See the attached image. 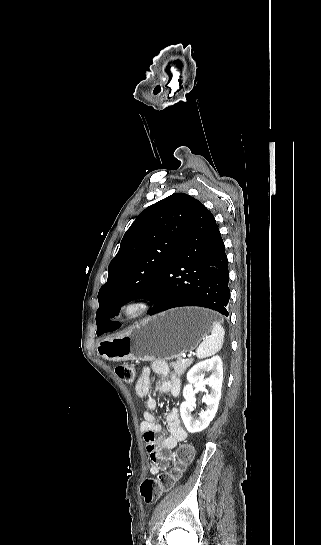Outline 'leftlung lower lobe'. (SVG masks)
Returning a JSON list of instances; mask_svg holds the SVG:
<instances>
[{"mask_svg":"<svg viewBox=\"0 0 321 545\" xmlns=\"http://www.w3.org/2000/svg\"><path fill=\"white\" fill-rule=\"evenodd\" d=\"M228 282L224 242L213 214L200 202L179 239L156 293L149 299L155 305L148 314L199 306L228 316ZM118 311L110 315L104 332L120 327V323L111 320Z\"/></svg>","mask_w":321,"mask_h":545,"instance_id":"0a47b994","label":"left lung lower lobe"}]
</instances>
